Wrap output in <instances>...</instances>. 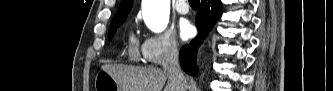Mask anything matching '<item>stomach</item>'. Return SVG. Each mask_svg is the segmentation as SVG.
<instances>
[{
    "mask_svg": "<svg viewBox=\"0 0 333 91\" xmlns=\"http://www.w3.org/2000/svg\"><path fill=\"white\" fill-rule=\"evenodd\" d=\"M95 91H125L123 87L106 71L100 70L94 81Z\"/></svg>",
    "mask_w": 333,
    "mask_h": 91,
    "instance_id": "obj_1",
    "label": "stomach"
}]
</instances>
